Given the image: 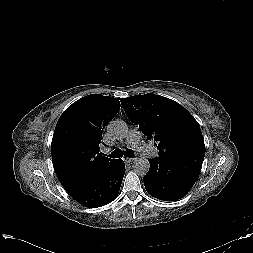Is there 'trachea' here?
Returning a JSON list of instances; mask_svg holds the SVG:
<instances>
[{
  "label": "trachea",
  "instance_id": "trachea-1",
  "mask_svg": "<svg viewBox=\"0 0 253 253\" xmlns=\"http://www.w3.org/2000/svg\"><path fill=\"white\" fill-rule=\"evenodd\" d=\"M125 157H134V152L131 149H127L126 151H124V153L120 150V149H116L114 150L111 154L107 155L110 158H120L122 156Z\"/></svg>",
  "mask_w": 253,
  "mask_h": 253
}]
</instances>
